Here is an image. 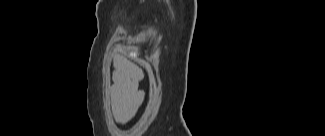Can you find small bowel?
<instances>
[{"label": "small bowel", "mask_w": 325, "mask_h": 136, "mask_svg": "<svg viewBox=\"0 0 325 136\" xmlns=\"http://www.w3.org/2000/svg\"><path fill=\"white\" fill-rule=\"evenodd\" d=\"M112 90V107L119 123H126L144 100L145 93L139 89L141 74L121 58L116 60Z\"/></svg>", "instance_id": "1"}]
</instances>
